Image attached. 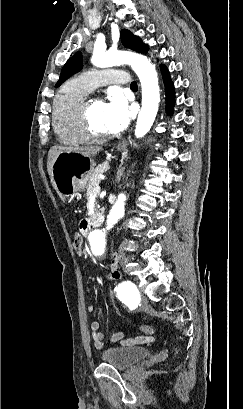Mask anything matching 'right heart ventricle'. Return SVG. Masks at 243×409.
<instances>
[{
    "mask_svg": "<svg viewBox=\"0 0 243 409\" xmlns=\"http://www.w3.org/2000/svg\"><path fill=\"white\" fill-rule=\"evenodd\" d=\"M91 92L80 77L67 80L57 91L52 105V125L58 140L70 146L86 141L79 124V106Z\"/></svg>",
    "mask_w": 243,
    "mask_h": 409,
    "instance_id": "obj_1",
    "label": "right heart ventricle"
}]
</instances>
